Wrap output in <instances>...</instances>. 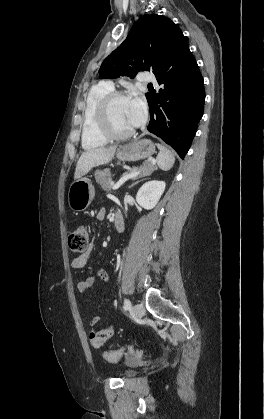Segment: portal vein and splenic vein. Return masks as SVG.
Returning <instances> with one entry per match:
<instances>
[{
  "mask_svg": "<svg viewBox=\"0 0 264 419\" xmlns=\"http://www.w3.org/2000/svg\"><path fill=\"white\" fill-rule=\"evenodd\" d=\"M139 173H140V171H132L130 173L124 174L123 177L116 184H113L112 189L116 190V189L120 188L127 180L138 176Z\"/></svg>",
  "mask_w": 264,
  "mask_h": 419,
  "instance_id": "1",
  "label": "portal vein and splenic vein"
}]
</instances>
